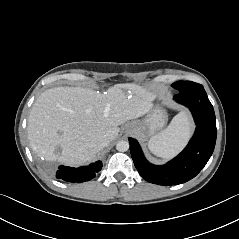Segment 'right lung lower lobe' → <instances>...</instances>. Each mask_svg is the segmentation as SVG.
Segmentation results:
<instances>
[{"mask_svg":"<svg viewBox=\"0 0 239 239\" xmlns=\"http://www.w3.org/2000/svg\"><path fill=\"white\" fill-rule=\"evenodd\" d=\"M102 168V162L97 161L89 166H82L79 168L60 166L57 172V178L68 182H84L89 181L95 177L96 172Z\"/></svg>","mask_w":239,"mask_h":239,"instance_id":"right-lung-lower-lobe-1","label":"right lung lower lobe"}]
</instances>
